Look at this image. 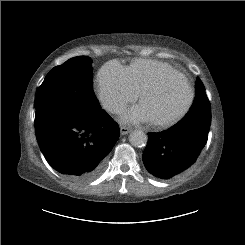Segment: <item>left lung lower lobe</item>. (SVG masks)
Returning a JSON list of instances; mask_svg holds the SVG:
<instances>
[{"label": "left lung lower lobe", "mask_w": 245, "mask_h": 245, "mask_svg": "<svg viewBox=\"0 0 245 245\" xmlns=\"http://www.w3.org/2000/svg\"><path fill=\"white\" fill-rule=\"evenodd\" d=\"M209 126L174 125L150 139L143 153L146 169L160 179H171L189 169L200 156L208 139Z\"/></svg>", "instance_id": "0a47b994"}]
</instances>
